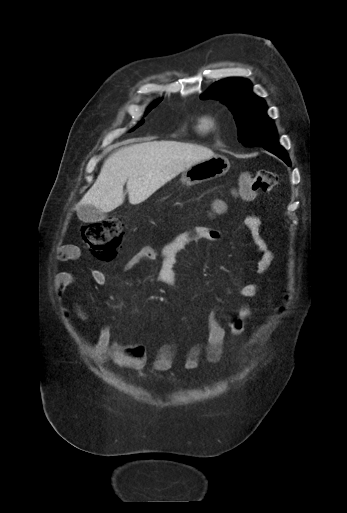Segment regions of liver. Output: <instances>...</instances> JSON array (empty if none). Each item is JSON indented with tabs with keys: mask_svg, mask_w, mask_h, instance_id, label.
<instances>
[{
	"mask_svg": "<svg viewBox=\"0 0 347 513\" xmlns=\"http://www.w3.org/2000/svg\"><path fill=\"white\" fill-rule=\"evenodd\" d=\"M214 155L209 148L176 141H154L121 148L109 156L100 174L76 206L91 205L103 213L124 201L127 183L129 202L139 204L165 183L193 164Z\"/></svg>",
	"mask_w": 347,
	"mask_h": 513,
	"instance_id": "6515ba94",
	"label": "liver"
}]
</instances>
